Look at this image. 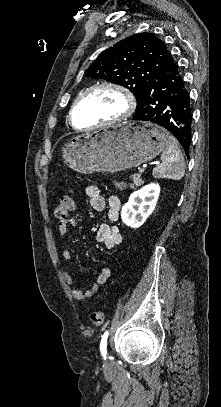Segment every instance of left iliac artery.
<instances>
[{
    "label": "left iliac artery",
    "mask_w": 221,
    "mask_h": 407,
    "mask_svg": "<svg viewBox=\"0 0 221 407\" xmlns=\"http://www.w3.org/2000/svg\"><path fill=\"white\" fill-rule=\"evenodd\" d=\"M108 334H109L108 331H106L103 334L101 342H100V351H101V354L104 357V359H106V353H107V337H108Z\"/></svg>",
    "instance_id": "obj_1"
}]
</instances>
